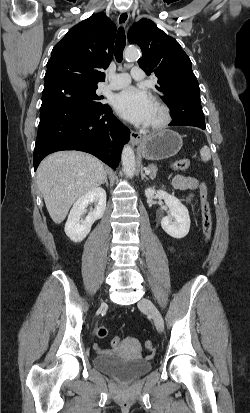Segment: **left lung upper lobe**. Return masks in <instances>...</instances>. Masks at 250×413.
I'll use <instances>...</instances> for the list:
<instances>
[{
	"instance_id": "left-lung-upper-lobe-1",
	"label": "left lung upper lobe",
	"mask_w": 250,
	"mask_h": 413,
	"mask_svg": "<svg viewBox=\"0 0 250 413\" xmlns=\"http://www.w3.org/2000/svg\"><path fill=\"white\" fill-rule=\"evenodd\" d=\"M130 43L142 50L139 66L147 75L158 77L156 89L170 105L177 99L199 96V84L192 71L191 60L180 44L149 19H141L128 32Z\"/></svg>"
}]
</instances>
